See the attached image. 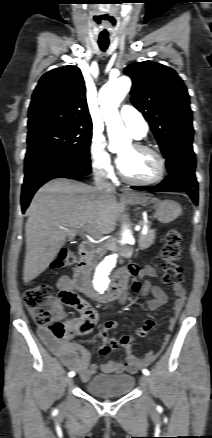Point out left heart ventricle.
Masks as SVG:
<instances>
[{"mask_svg": "<svg viewBox=\"0 0 212 438\" xmlns=\"http://www.w3.org/2000/svg\"><path fill=\"white\" fill-rule=\"evenodd\" d=\"M119 156L123 161L122 171L131 179L148 180L158 173L157 160L150 153L128 146L120 152Z\"/></svg>", "mask_w": 212, "mask_h": 438, "instance_id": "obj_1", "label": "left heart ventricle"}]
</instances>
